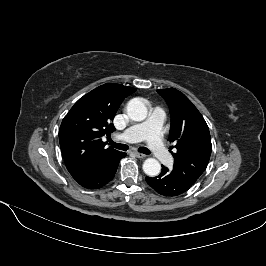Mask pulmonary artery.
<instances>
[{
    "label": "pulmonary artery",
    "instance_id": "e3ab8cb5",
    "mask_svg": "<svg viewBox=\"0 0 266 266\" xmlns=\"http://www.w3.org/2000/svg\"><path fill=\"white\" fill-rule=\"evenodd\" d=\"M164 119L165 111L160 107H155L144 122L130 126L117 135L116 138L127 143L145 140L157 159L164 164H170L173 159L166 150L160 136Z\"/></svg>",
    "mask_w": 266,
    "mask_h": 266
}]
</instances>
